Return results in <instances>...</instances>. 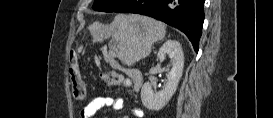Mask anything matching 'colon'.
<instances>
[{
	"label": "colon",
	"mask_w": 273,
	"mask_h": 118,
	"mask_svg": "<svg viewBox=\"0 0 273 118\" xmlns=\"http://www.w3.org/2000/svg\"><path fill=\"white\" fill-rule=\"evenodd\" d=\"M69 63L68 76L73 95L76 99L82 100L85 97V85L78 68L76 57L71 56ZM101 79L108 86L121 88L128 86L127 79L116 73H105L101 75Z\"/></svg>",
	"instance_id": "5ec220e1"
}]
</instances>
